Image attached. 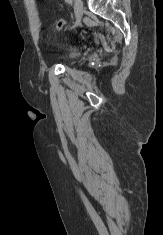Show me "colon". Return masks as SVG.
Instances as JSON below:
<instances>
[{
	"instance_id": "obj_1",
	"label": "colon",
	"mask_w": 163,
	"mask_h": 235,
	"mask_svg": "<svg viewBox=\"0 0 163 235\" xmlns=\"http://www.w3.org/2000/svg\"><path fill=\"white\" fill-rule=\"evenodd\" d=\"M65 25V20L64 19H58L55 23V28L56 29H62Z\"/></svg>"
}]
</instances>
